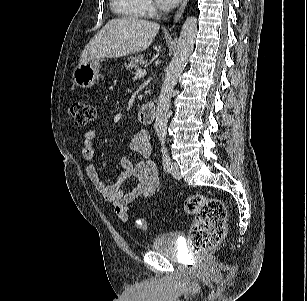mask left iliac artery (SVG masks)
<instances>
[{"instance_id":"left-iliac-artery-1","label":"left iliac artery","mask_w":307,"mask_h":301,"mask_svg":"<svg viewBox=\"0 0 307 301\" xmlns=\"http://www.w3.org/2000/svg\"><path fill=\"white\" fill-rule=\"evenodd\" d=\"M162 152V162H163V168L166 172H170L172 169V165H171V159L170 156L168 154L167 148L163 147L161 149Z\"/></svg>"}]
</instances>
